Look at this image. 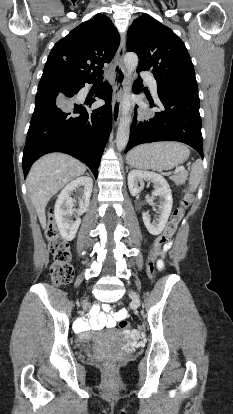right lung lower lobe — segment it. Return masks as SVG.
I'll return each instance as SVG.
<instances>
[{"mask_svg": "<svg viewBox=\"0 0 233 414\" xmlns=\"http://www.w3.org/2000/svg\"><path fill=\"white\" fill-rule=\"evenodd\" d=\"M85 83L65 91L38 90L23 151L24 177L42 155L62 152L85 163L97 178L100 159L111 132L112 88L109 84L102 86L96 96L104 99L106 104L91 111L89 106L95 99L84 103L71 99Z\"/></svg>", "mask_w": 233, "mask_h": 414, "instance_id": "1", "label": "right lung lower lobe"}]
</instances>
